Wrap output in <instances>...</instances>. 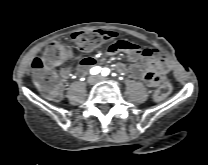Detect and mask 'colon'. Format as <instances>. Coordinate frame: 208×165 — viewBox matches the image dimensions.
Listing matches in <instances>:
<instances>
[{
    "label": "colon",
    "mask_w": 208,
    "mask_h": 165,
    "mask_svg": "<svg viewBox=\"0 0 208 165\" xmlns=\"http://www.w3.org/2000/svg\"><path fill=\"white\" fill-rule=\"evenodd\" d=\"M72 39L81 52H88L99 46L104 40L101 31H80L72 35ZM71 58L70 50L60 43H52L43 57H37L32 62L33 81L36 87L47 97L57 98L61 95V83L54 70L62 67ZM172 85L164 81L154 92V99L162 101L169 96Z\"/></svg>",
    "instance_id": "obj_1"
}]
</instances>
